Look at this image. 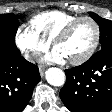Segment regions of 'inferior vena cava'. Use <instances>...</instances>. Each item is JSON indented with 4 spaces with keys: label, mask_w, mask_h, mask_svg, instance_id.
Returning a JSON list of instances; mask_svg holds the SVG:
<instances>
[{
    "label": "inferior vena cava",
    "mask_w": 112,
    "mask_h": 112,
    "mask_svg": "<svg viewBox=\"0 0 112 112\" xmlns=\"http://www.w3.org/2000/svg\"><path fill=\"white\" fill-rule=\"evenodd\" d=\"M26 59L29 61H33L39 58L38 53H31V54H26Z\"/></svg>",
    "instance_id": "1"
}]
</instances>
